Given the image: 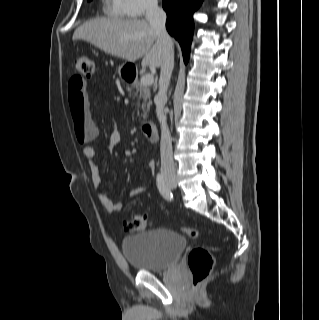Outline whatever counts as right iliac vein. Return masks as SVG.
<instances>
[{"instance_id": "right-iliac-vein-1", "label": "right iliac vein", "mask_w": 319, "mask_h": 320, "mask_svg": "<svg viewBox=\"0 0 319 320\" xmlns=\"http://www.w3.org/2000/svg\"><path fill=\"white\" fill-rule=\"evenodd\" d=\"M165 181L169 186H172V187L176 186V179L175 178H166Z\"/></svg>"}]
</instances>
